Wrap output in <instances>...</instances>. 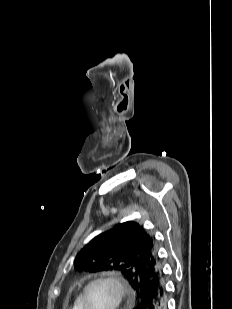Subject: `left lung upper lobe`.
I'll use <instances>...</instances> for the list:
<instances>
[{"instance_id":"obj_1","label":"left lung upper lobe","mask_w":232,"mask_h":309,"mask_svg":"<svg viewBox=\"0 0 232 309\" xmlns=\"http://www.w3.org/2000/svg\"><path fill=\"white\" fill-rule=\"evenodd\" d=\"M78 271H120L140 300L151 276L160 269L155 239L138 223L128 221L99 234L78 253Z\"/></svg>"}]
</instances>
